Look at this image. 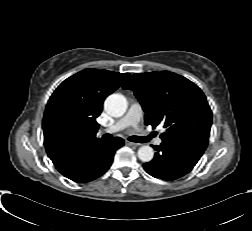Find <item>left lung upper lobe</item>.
<instances>
[{
  "mask_svg": "<svg viewBox=\"0 0 252 231\" xmlns=\"http://www.w3.org/2000/svg\"><path fill=\"white\" fill-rule=\"evenodd\" d=\"M123 88L132 90L141 103L146 125H164L162 140L185 136L209 140L212 111L202 90L190 80L169 71L136 73Z\"/></svg>",
  "mask_w": 252,
  "mask_h": 231,
  "instance_id": "1",
  "label": "left lung upper lobe"
}]
</instances>
